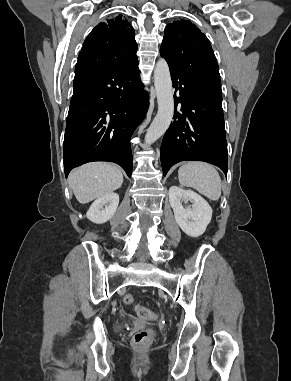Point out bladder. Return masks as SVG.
<instances>
[{"instance_id": "1", "label": "bladder", "mask_w": 291, "mask_h": 381, "mask_svg": "<svg viewBox=\"0 0 291 381\" xmlns=\"http://www.w3.org/2000/svg\"><path fill=\"white\" fill-rule=\"evenodd\" d=\"M125 327H126L125 324L118 323L115 328H116V330L120 331V330H123Z\"/></svg>"}]
</instances>
